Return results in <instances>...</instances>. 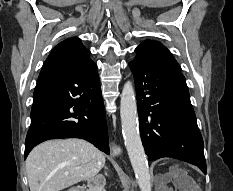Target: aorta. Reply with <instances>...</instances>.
Returning a JSON list of instances; mask_svg holds the SVG:
<instances>
[{
	"label": "aorta",
	"mask_w": 233,
	"mask_h": 191,
	"mask_svg": "<svg viewBox=\"0 0 233 191\" xmlns=\"http://www.w3.org/2000/svg\"><path fill=\"white\" fill-rule=\"evenodd\" d=\"M120 116L124 143L141 191H151L148 162L139 133L137 105L133 85L127 81L120 102Z\"/></svg>",
	"instance_id": "1"
}]
</instances>
